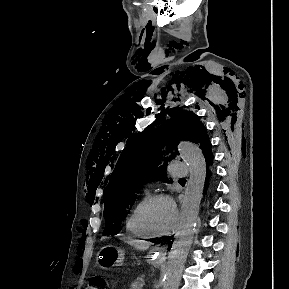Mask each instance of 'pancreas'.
Masks as SVG:
<instances>
[{
    "label": "pancreas",
    "mask_w": 289,
    "mask_h": 289,
    "mask_svg": "<svg viewBox=\"0 0 289 289\" xmlns=\"http://www.w3.org/2000/svg\"><path fill=\"white\" fill-rule=\"evenodd\" d=\"M145 283L144 277L137 278L130 286V289H142L143 285Z\"/></svg>",
    "instance_id": "obj_1"
}]
</instances>
